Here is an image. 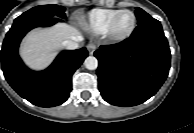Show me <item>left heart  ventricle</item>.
Returning <instances> with one entry per match:
<instances>
[{"instance_id":"left-heart-ventricle-1","label":"left heart ventricle","mask_w":194,"mask_h":133,"mask_svg":"<svg viewBox=\"0 0 194 133\" xmlns=\"http://www.w3.org/2000/svg\"><path fill=\"white\" fill-rule=\"evenodd\" d=\"M133 24V17L129 13L121 14L115 24V32L118 34L126 33Z\"/></svg>"}]
</instances>
